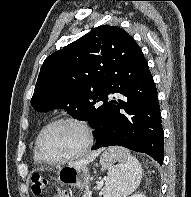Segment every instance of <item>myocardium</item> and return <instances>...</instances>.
<instances>
[{"instance_id":"myocardium-1","label":"myocardium","mask_w":191,"mask_h":197,"mask_svg":"<svg viewBox=\"0 0 191 197\" xmlns=\"http://www.w3.org/2000/svg\"><path fill=\"white\" fill-rule=\"evenodd\" d=\"M59 123H73L78 125L84 132L85 136V143L84 146L75 154L68 156L66 158L58 159V160H51L48 159L41 150V140L44 133L52 126L59 124ZM94 142L93 131L90 125L83 119L76 117V116H61L58 118L53 119L52 121L48 122L39 132L36 141H35V152L37 157L42 163L48 165H62L73 160L79 159L84 156L86 153L89 152Z\"/></svg>"}]
</instances>
